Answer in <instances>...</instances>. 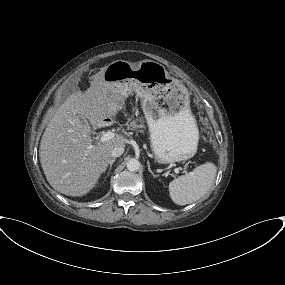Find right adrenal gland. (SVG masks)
Returning <instances> with one entry per match:
<instances>
[{
    "mask_svg": "<svg viewBox=\"0 0 285 285\" xmlns=\"http://www.w3.org/2000/svg\"><path fill=\"white\" fill-rule=\"evenodd\" d=\"M114 162H115V158H113V159L110 160V162H109V170H108L107 176L109 175V172H110V170H111L112 165H113ZM104 172H105V171H104Z\"/></svg>",
    "mask_w": 285,
    "mask_h": 285,
    "instance_id": "right-adrenal-gland-1",
    "label": "right adrenal gland"
}]
</instances>
